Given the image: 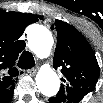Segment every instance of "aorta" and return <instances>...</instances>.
<instances>
[{
  "label": "aorta",
  "mask_w": 103,
  "mask_h": 103,
  "mask_svg": "<svg viewBox=\"0 0 103 103\" xmlns=\"http://www.w3.org/2000/svg\"><path fill=\"white\" fill-rule=\"evenodd\" d=\"M27 39L28 47L37 57L46 58L49 56L53 46V37L45 26L33 25L27 34ZM36 85L43 95L52 97L59 91L60 80L55 71L43 67L36 75Z\"/></svg>",
  "instance_id": "aorta-1"
}]
</instances>
